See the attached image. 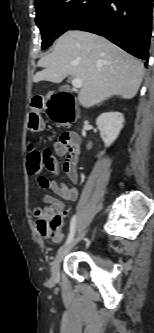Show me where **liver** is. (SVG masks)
Instances as JSON below:
<instances>
[{
	"mask_svg": "<svg viewBox=\"0 0 154 333\" xmlns=\"http://www.w3.org/2000/svg\"><path fill=\"white\" fill-rule=\"evenodd\" d=\"M43 70L35 83H61L67 76L83 85L78 100L89 108L113 95L133 98L140 87L144 65L107 39L84 31H67L58 38L53 51L38 61Z\"/></svg>",
	"mask_w": 154,
	"mask_h": 333,
	"instance_id": "6515ba94",
	"label": "liver"
}]
</instances>
